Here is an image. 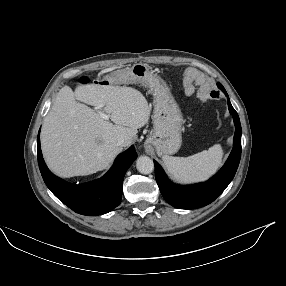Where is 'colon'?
<instances>
[{
	"mask_svg": "<svg viewBox=\"0 0 286 286\" xmlns=\"http://www.w3.org/2000/svg\"><path fill=\"white\" fill-rule=\"evenodd\" d=\"M80 81H81V83H83V84H88V83H90V82L92 81V79H91L90 77L83 76ZM187 89H188V88L185 86V90H187Z\"/></svg>",
	"mask_w": 286,
	"mask_h": 286,
	"instance_id": "obj_1",
	"label": "colon"
}]
</instances>
